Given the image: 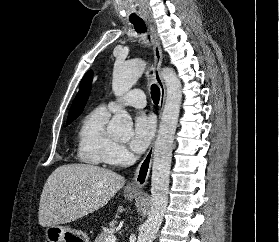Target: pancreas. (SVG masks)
I'll return each instance as SVG.
<instances>
[{
	"label": "pancreas",
	"instance_id": "obj_1",
	"mask_svg": "<svg viewBox=\"0 0 279 242\" xmlns=\"http://www.w3.org/2000/svg\"><path fill=\"white\" fill-rule=\"evenodd\" d=\"M114 234V228L104 229L94 240V242H106L109 235Z\"/></svg>",
	"mask_w": 279,
	"mask_h": 242
}]
</instances>
